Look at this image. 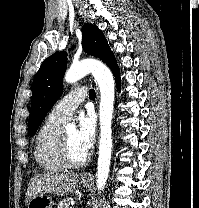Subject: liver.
<instances>
[{
  "instance_id": "obj_1",
  "label": "liver",
  "mask_w": 199,
  "mask_h": 208,
  "mask_svg": "<svg viewBox=\"0 0 199 208\" xmlns=\"http://www.w3.org/2000/svg\"><path fill=\"white\" fill-rule=\"evenodd\" d=\"M79 182L77 174L46 173L32 177L27 188L25 204L40 195L51 193L65 196L75 190Z\"/></svg>"
}]
</instances>
